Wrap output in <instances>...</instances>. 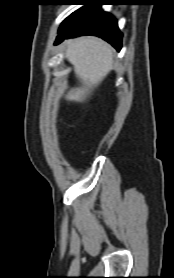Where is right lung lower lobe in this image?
Listing matches in <instances>:
<instances>
[{"label":"right lung lower lobe","instance_id":"1","mask_svg":"<svg viewBox=\"0 0 174 278\" xmlns=\"http://www.w3.org/2000/svg\"><path fill=\"white\" fill-rule=\"evenodd\" d=\"M85 7L72 13L59 28L56 44L64 39L81 35H95L111 43L118 51L122 46V34L117 20L102 11V3L88 2Z\"/></svg>","mask_w":174,"mask_h":278}]
</instances>
